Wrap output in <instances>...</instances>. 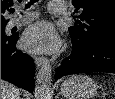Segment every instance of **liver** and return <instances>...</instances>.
Instances as JSON below:
<instances>
[{
  "instance_id": "liver-1",
  "label": "liver",
  "mask_w": 115,
  "mask_h": 99,
  "mask_svg": "<svg viewBox=\"0 0 115 99\" xmlns=\"http://www.w3.org/2000/svg\"><path fill=\"white\" fill-rule=\"evenodd\" d=\"M19 89L14 85L1 80V99H20Z\"/></svg>"
}]
</instances>
